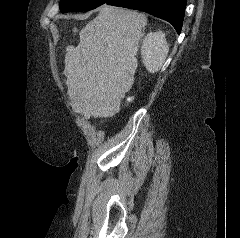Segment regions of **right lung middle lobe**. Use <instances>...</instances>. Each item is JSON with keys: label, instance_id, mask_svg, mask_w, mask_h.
I'll use <instances>...</instances> for the list:
<instances>
[{"label": "right lung middle lobe", "instance_id": "1", "mask_svg": "<svg viewBox=\"0 0 240 238\" xmlns=\"http://www.w3.org/2000/svg\"><path fill=\"white\" fill-rule=\"evenodd\" d=\"M111 1L113 0H60V10L61 12L89 11Z\"/></svg>", "mask_w": 240, "mask_h": 238}]
</instances>
